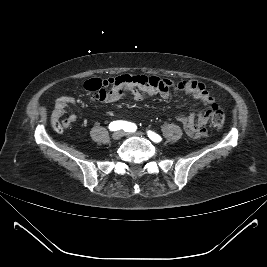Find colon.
<instances>
[{
  "mask_svg": "<svg viewBox=\"0 0 267 267\" xmlns=\"http://www.w3.org/2000/svg\"><path fill=\"white\" fill-rule=\"evenodd\" d=\"M144 86L148 90L155 91L161 88V81L155 77H146L143 80ZM210 115H211V122L216 128H221L225 121V115L223 110L220 106L216 103H213L210 106ZM52 126L55 130L60 131L62 130L63 126L58 120L52 121Z\"/></svg>",
  "mask_w": 267,
  "mask_h": 267,
  "instance_id": "colon-1",
  "label": "colon"
}]
</instances>
